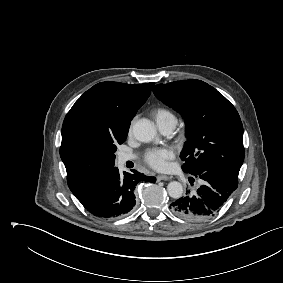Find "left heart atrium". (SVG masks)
<instances>
[{"label": "left heart atrium", "instance_id": "1", "mask_svg": "<svg viewBox=\"0 0 283 283\" xmlns=\"http://www.w3.org/2000/svg\"><path fill=\"white\" fill-rule=\"evenodd\" d=\"M174 157V152L170 148L152 149L147 152L145 161L156 170H164L168 166L169 160Z\"/></svg>", "mask_w": 283, "mask_h": 283}]
</instances>
